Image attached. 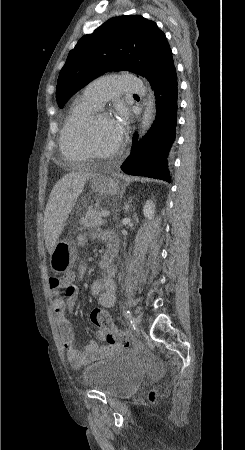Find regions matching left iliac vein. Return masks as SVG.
<instances>
[{
    "label": "left iliac vein",
    "instance_id": "obj_1",
    "mask_svg": "<svg viewBox=\"0 0 245 450\" xmlns=\"http://www.w3.org/2000/svg\"><path fill=\"white\" fill-rule=\"evenodd\" d=\"M142 321V316L140 314L136 315V317L134 318V322L135 324L138 326Z\"/></svg>",
    "mask_w": 245,
    "mask_h": 450
}]
</instances>
